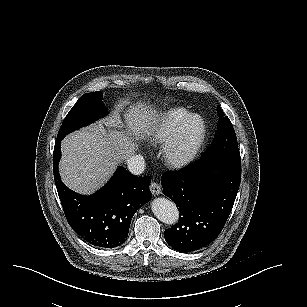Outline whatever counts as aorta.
Returning <instances> with one entry per match:
<instances>
[{"label": "aorta", "mask_w": 307, "mask_h": 307, "mask_svg": "<svg viewBox=\"0 0 307 307\" xmlns=\"http://www.w3.org/2000/svg\"><path fill=\"white\" fill-rule=\"evenodd\" d=\"M151 211L161 222L172 225L179 219V211L175 203L166 198H155L151 202Z\"/></svg>", "instance_id": "aorta-1"}]
</instances>
